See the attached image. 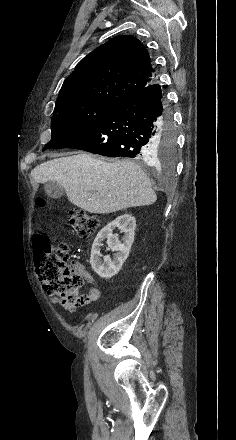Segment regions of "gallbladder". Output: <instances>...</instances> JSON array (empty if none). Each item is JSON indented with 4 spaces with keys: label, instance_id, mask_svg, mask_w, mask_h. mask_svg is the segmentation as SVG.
<instances>
[{
    "label": "gallbladder",
    "instance_id": "obj_1",
    "mask_svg": "<svg viewBox=\"0 0 236 440\" xmlns=\"http://www.w3.org/2000/svg\"><path fill=\"white\" fill-rule=\"evenodd\" d=\"M45 193L52 199L61 198L65 194L64 188L57 182L48 181L44 185Z\"/></svg>",
    "mask_w": 236,
    "mask_h": 440
}]
</instances>
